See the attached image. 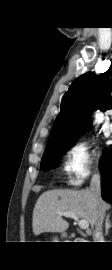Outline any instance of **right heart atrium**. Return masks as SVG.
<instances>
[{
    "label": "right heart atrium",
    "mask_w": 112,
    "mask_h": 270,
    "mask_svg": "<svg viewBox=\"0 0 112 270\" xmlns=\"http://www.w3.org/2000/svg\"><path fill=\"white\" fill-rule=\"evenodd\" d=\"M97 170V151L93 144L79 140L66 149L62 171L69 185H81L91 173Z\"/></svg>",
    "instance_id": "obj_1"
}]
</instances>
